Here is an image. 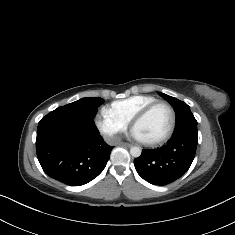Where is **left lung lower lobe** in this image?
<instances>
[{
    "label": "left lung lower lobe",
    "mask_w": 235,
    "mask_h": 235,
    "mask_svg": "<svg viewBox=\"0 0 235 235\" xmlns=\"http://www.w3.org/2000/svg\"><path fill=\"white\" fill-rule=\"evenodd\" d=\"M198 137L195 134L173 135L169 142L155 150H143L134 160L137 173L154 185L169 184L190 168L195 157Z\"/></svg>",
    "instance_id": "obj_1"
}]
</instances>
